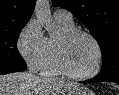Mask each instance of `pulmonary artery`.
I'll list each match as a JSON object with an SVG mask.
<instances>
[{"label": "pulmonary artery", "instance_id": "obj_1", "mask_svg": "<svg viewBox=\"0 0 119 95\" xmlns=\"http://www.w3.org/2000/svg\"><path fill=\"white\" fill-rule=\"evenodd\" d=\"M54 19L56 21H60L63 23H73V16L72 14L65 10V9H57L55 10L54 14Z\"/></svg>", "mask_w": 119, "mask_h": 95}]
</instances>
